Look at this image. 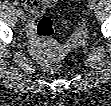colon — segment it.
I'll return each mask as SVG.
<instances>
[{
	"label": "colon",
	"instance_id": "obj_1",
	"mask_svg": "<svg viewBox=\"0 0 111 106\" xmlns=\"http://www.w3.org/2000/svg\"><path fill=\"white\" fill-rule=\"evenodd\" d=\"M36 33L41 39L39 46L42 48H51L50 58L45 61L44 69L47 72H55L62 65L60 57L63 54V49L55 47L53 43L50 41V38L54 33V25L51 18L46 16L40 18L36 26Z\"/></svg>",
	"mask_w": 111,
	"mask_h": 106
}]
</instances>
